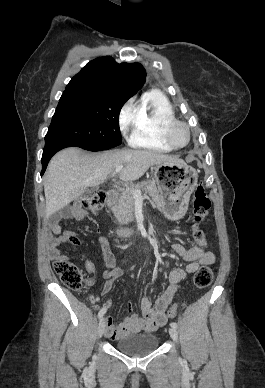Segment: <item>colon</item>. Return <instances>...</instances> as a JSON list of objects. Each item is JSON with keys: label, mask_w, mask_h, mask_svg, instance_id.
Listing matches in <instances>:
<instances>
[{"label": "colon", "mask_w": 265, "mask_h": 388, "mask_svg": "<svg viewBox=\"0 0 265 388\" xmlns=\"http://www.w3.org/2000/svg\"><path fill=\"white\" fill-rule=\"evenodd\" d=\"M106 194L104 191L99 190L94 194L86 197L83 200V206L90 212L99 213L105 203ZM211 203L205 192V189L200 183L195 189L193 196V228L192 236L195 242L201 246L206 244V234L203 229L200 228V224L205 220L208 215ZM54 270L59 276L64 285L72 290H80L83 286L82 271L72 262L67 260H57L54 263ZM214 271L211 266L205 265L199 268L193 278L194 285L197 288L208 287L213 280ZM179 309L178 305H172L168 311V317H175Z\"/></svg>", "instance_id": "colon-1"}]
</instances>
